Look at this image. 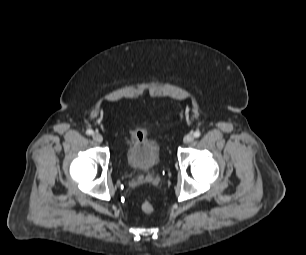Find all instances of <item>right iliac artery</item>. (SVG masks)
<instances>
[{
    "instance_id": "right-iliac-artery-1",
    "label": "right iliac artery",
    "mask_w": 306,
    "mask_h": 255,
    "mask_svg": "<svg viewBox=\"0 0 306 255\" xmlns=\"http://www.w3.org/2000/svg\"><path fill=\"white\" fill-rule=\"evenodd\" d=\"M86 134H87V135H92V134H93V130L88 129V130L86 131Z\"/></svg>"
}]
</instances>
